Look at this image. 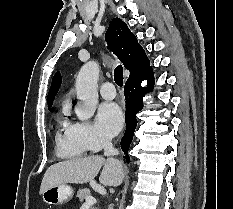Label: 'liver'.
<instances>
[{
    "label": "liver",
    "instance_id": "obj_1",
    "mask_svg": "<svg viewBox=\"0 0 233 209\" xmlns=\"http://www.w3.org/2000/svg\"><path fill=\"white\" fill-rule=\"evenodd\" d=\"M103 167L99 182L105 186H119L124 179L122 163L113 158L89 156L61 161L51 165L45 172L40 186V195L48 188L59 184H83L94 180Z\"/></svg>",
    "mask_w": 233,
    "mask_h": 209
}]
</instances>
